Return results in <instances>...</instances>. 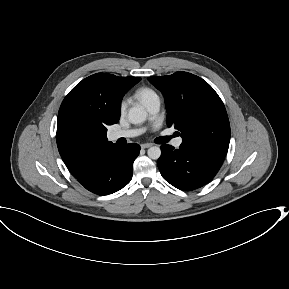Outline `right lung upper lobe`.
<instances>
[{
  "mask_svg": "<svg viewBox=\"0 0 289 289\" xmlns=\"http://www.w3.org/2000/svg\"><path fill=\"white\" fill-rule=\"evenodd\" d=\"M141 80L96 73L78 83L64 98L58 113L56 141L73 176L98 155L117 146L107 139V126L120 117L124 94Z\"/></svg>",
  "mask_w": 289,
  "mask_h": 289,
  "instance_id": "1",
  "label": "right lung upper lobe"
}]
</instances>
